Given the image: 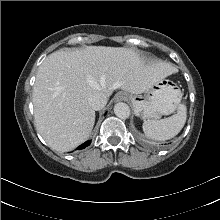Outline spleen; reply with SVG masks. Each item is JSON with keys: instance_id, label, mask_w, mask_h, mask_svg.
<instances>
[{"instance_id": "spleen-1", "label": "spleen", "mask_w": 220, "mask_h": 220, "mask_svg": "<svg viewBox=\"0 0 220 220\" xmlns=\"http://www.w3.org/2000/svg\"><path fill=\"white\" fill-rule=\"evenodd\" d=\"M187 118V107L179 104L177 113L161 120H147L143 123L145 135L155 140H168L175 137L184 127Z\"/></svg>"}]
</instances>
